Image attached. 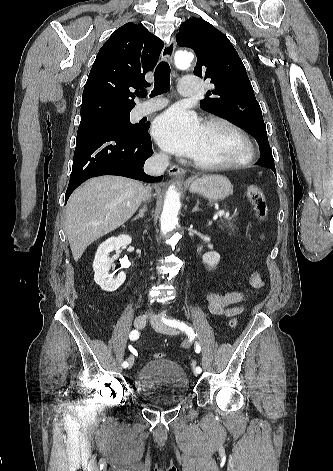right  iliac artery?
<instances>
[{
  "label": "right iliac artery",
  "instance_id": "right-iliac-artery-1",
  "mask_svg": "<svg viewBox=\"0 0 333 471\" xmlns=\"http://www.w3.org/2000/svg\"><path fill=\"white\" fill-rule=\"evenodd\" d=\"M129 338H130V340H133V341H134V340H137V339L139 338V332H138L137 330H132V331L130 332V334H129ZM122 366H123L124 368H126V367L128 366V362H127V361H124V362L122 363Z\"/></svg>",
  "mask_w": 333,
  "mask_h": 471
}]
</instances>
